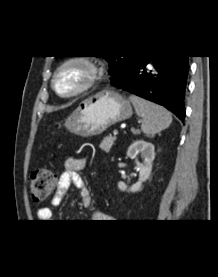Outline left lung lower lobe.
<instances>
[{"mask_svg":"<svg viewBox=\"0 0 218 277\" xmlns=\"http://www.w3.org/2000/svg\"><path fill=\"white\" fill-rule=\"evenodd\" d=\"M188 57L134 55L111 85L158 103L183 121Z\"/></svg>","mask_w":218,"mask_h":277,"instance_id":"0a47b994","label":"left lung lower lobe"}]
</instances>
